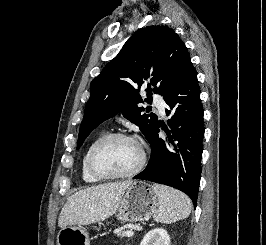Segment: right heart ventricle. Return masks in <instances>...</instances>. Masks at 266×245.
<instances>
[{
    "mask_svg": "<svg viewBox=\"0 0 266 245\" xmlns=\"http://www.w3.org/2000/svg\"><path fill=\"white\" fill-rule=\"evenodd\" d=\"M105 134V132H99L96 135H94L90 141L88 142L84 153L82 155L81 158V163H80V175H81V179L83 180V182H85L86 184H97L99 183L101 180H99L98 178H96L89 170V166H88V156H89V152L90 149L92 148V146L94 145V143Z\"/></svg>",
    "mask_w": 266,
    "mask_h": 245,
    "instance_id": "e07e8e85",
    "label": "right heart ventricle"
}]
</instances>
